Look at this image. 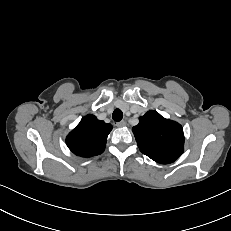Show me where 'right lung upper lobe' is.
I'll list each match as a JSON object with an SVG mask.
<instances>
[{"label":"right lung upper lobe","instance_id":"cb5924a9","mask_svg":"<svg viewBox=\"0 0 231 231\" xmlns=\"http://www.w3.org/2000/svg\"><path fill=\"white\" fill-rule=\"evenodd\" d=\"M112 125L87 115L66 138L68 148L77 156L92 157L101 154L106 146Z\"/></svg>","mask_w":231,"mask_h":231}]
</instances>
